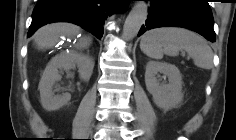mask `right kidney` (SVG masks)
Here are the masks:
<instances>
[{"label":"right kidney","mask_w":236,"mask_h":140,"mask_svg":"<svg viewBox=\"0 0 236 140\" xmlns=\"http://www.w3.org/2000/svg\"><path fill=\"white\" fill-rule=\"evenodd\" d=\"M75 66L79 68L80 79L89 81L93 72L94 61L87 55L64 53L54 57L47 65L38 87L41 104L45 110H57L70 101L71 95L69 93L55 95L53 88L55 84L61 80L60 72L70 70Z\"/></svg>","instance_id":"right-kidney-1"}]
</instances>
